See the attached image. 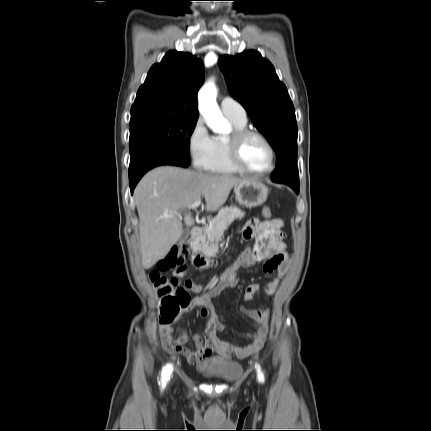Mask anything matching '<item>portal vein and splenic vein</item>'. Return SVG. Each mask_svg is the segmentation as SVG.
Listing matches in <instances>:
<instances>
[{
    "instance_id": "portal-vein-and-splenic-vein-1",
    "label": "portal vein and splenic vein",
    "mask_w": 431,
    "mask_h": 431,
    "mask_svg": "<svg viewBox=\"0 0 431 431\" xmlns=\"http://www.w3.org/2000/svg\"><path fill=\"white\" fill-rule=\"evenodd\" d=\"M201 205V199L196 200L194 203L190 204L187 206L188 209H196L197 207H199ZM175 215H179L178 213L172 214V215H166V218H172Z\"/></svg>"
}]
</instances>
